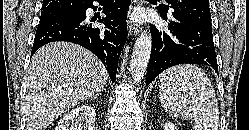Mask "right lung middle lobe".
I'll list each match as a JSON object with an SVG mask.
<instances>
[{
	"label": "right lung middle lobe",
	"mask_w": 249,
	"mask_h": 130,
	"mask_svg": "<svg viewBox=\"0 0 249 130\" xmlns=\"http://www.w3.org/2000/svg\"><path fill=\"white\" fill-rule=\"evenodd\" d=\"M83 7L84 6L64 11H42L40 22H47L73 16L75 14H78Z\"/></svg>",
	"instance_id": "1"
}]
</instances>
